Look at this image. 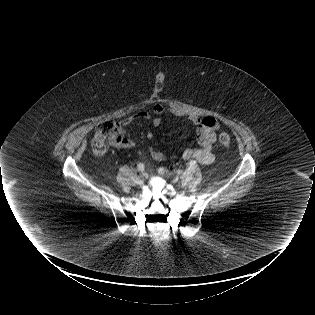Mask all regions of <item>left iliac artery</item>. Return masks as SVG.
I'll list each match as a JSON object with an SVG mask.
<instances>
[{
  "label": "left iliac artery",
  "mask_w": 315,
  "mask_h": 315,
  "mask_svg": "<svg viewBox=\"0 0 315 315\" xmlns=\"http://www.w3.org/2000/svg\"><path fill=\"white\" fill-rule=\"evenodd\" d=\"M194 166H195V162H194V161H192V162L189 163V168H192V167H194ZM181 173H182L181 170H177V174H181Z\"/></svg>",
  "instance_id": "left-iliac-artery-1"
}]
</instances>
